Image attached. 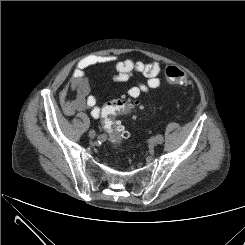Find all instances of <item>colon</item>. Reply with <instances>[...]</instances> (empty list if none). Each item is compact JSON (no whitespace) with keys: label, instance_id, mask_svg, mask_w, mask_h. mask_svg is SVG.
Instances as JSON below:
<instances>
[{"label":"colon","instance_id":"colon-1","mask_svg":"<svg viewBox=\"0 0 245 245\" xmlns=\"http://www.w3.org/2000/svg\"><path fill=\"white\" fill-rule=\"evenodd\" d=\"M166 79L173 84L187 85L189 79L186 73L178 67L170 66L165 70ZM135 104L127 98H118L105 104L102 109V121L105 130L110 135L114 145L124 143L129 137L128 131L116 119L118 115L129 113Z\"/></svg>","mask_w":245,"mask_h":245}]
</instances>
